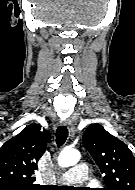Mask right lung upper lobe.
<instances>
[{"label": "right lung upper lobe", "mask_w": 135, "mask_h": 190, "mask_svg": "<svg viewBox=\"0 0 135 190\" xmlns=\"http://www.w3.org/2000/svg\"><path fill=\"white\" fill-rule=\"evenodd\" d=\"M50 133L38 125H29L0 148V186L40 188L33 184L36 162L50 140Z\"/></svg>", "instance_id": "obj_1"}]
</instances>
